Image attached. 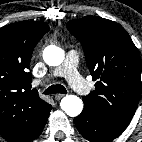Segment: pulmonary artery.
I'll use <instances>...</instances> for the list:
<instances>
[{"label":"pulmonary artery","instance_id":"1","mask_svg":"<svg viewBox=\"0 0 142 142\" xmlns=\"http://www.w3.org/2000/svg\"><path fill=\"white\" fill-rule=\"evenodd\" d=\"M79 61V53L72 49L68 51L64 62L55 68L51 73V77H64L71 85V87L80 94H88L90 86L82 78L77 70Z\"/></svg>","mask_w":142,"mask_h":142}]
</instances>
